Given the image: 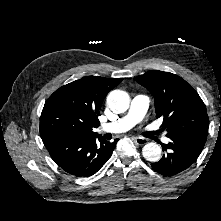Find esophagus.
Instances as JSON below:
<instances>
[{
  "instance_id": "34e87169",
  "label": "esophagus",
  "mask_w": 221,
  "mask_h": 221,
  "mask_svg": "<svg viewBox=\"0 0 221 221\" xmlns=\"http://www.w3.org/2000/svg\"><path fill=\"white\" fill-rule=\"evenodd\" d=\"M133 140L137 145L140 146L145 145L147 143V139L141 137H134Z\"/></svg>"
}]
</instances>
